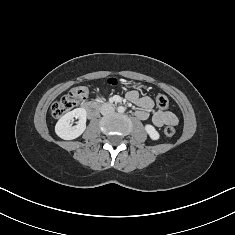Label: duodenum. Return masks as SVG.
I'll return each mask as SVG.
<instances>
[{"mask_svg":"<svg viewBox=\"0 0 235 235\" xmlns=\"http://www.w3.org/2000/svg\"><path fill=\"white\" fill-rule=\"evenodd\" d=\"M116 103L102 104L91 102L84 105V110L90 118L95 117L103 106H115Z\"/></svg>","mask_w":235,"mask_h":235,"instance_id":"obj_1","label":"duodenum"}]
</instances>
